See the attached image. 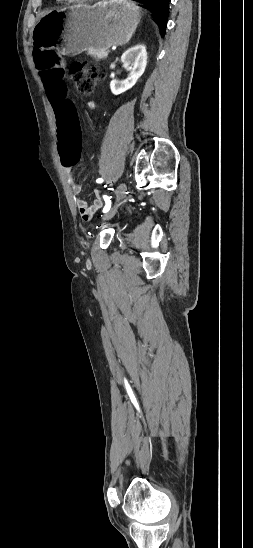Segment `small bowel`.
<instances>
[{
    "label": "small bowel",
    "mask_w": 253,
    "mask_h": 548,
    "mask_svg": "<svg viewBox=\"0 0 253 548\" xmlns=\"http://www.w3.org/2000/svg\"><path fill=\"white\" fill-rule=\"evenodd\" d=\"M53 60H63V59L58 57V58H55ZM36 62H37V60H36ZM43 85H44V83H43ZM51 106H52V109H53V105H51ZM88 106L90 108H92L93 103L89 102ZM71 167L72 166H64L63 165V170H64L65 176H66V178H67V180L70 184L71 191H72L73 195L76 197L75 198V204L77 206V209H78L81 217L85 221H88L93 217V215L97 212V210L102 206V201L100 199H95L91 205H88L87 202H85L83 199L78 197V195L81 192V185L74 180Z\"/></svg>",
    "instance_id": "c3829d8e"
}]
</instances>
